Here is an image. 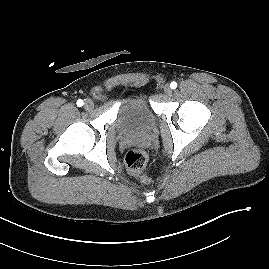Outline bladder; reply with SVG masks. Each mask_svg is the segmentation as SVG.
Here are the masks:
<instances>
[{
	"label": "bladder",
	"instance_id": "bladder-1",
	"mask_svg": "<svg viewBox=\"0 0 269 269\" xmlns=\"http://www.w3.org/2000/svg\"><path fill=\"white\" fill-rule=\"evenodd\" d=\"M156 114L145 91L128 95L120 104L116 125L124 135H146L155 127Z\"/></svg>",
	"mask_w": 269,
	"mask_h": 269
}]
</instances>
